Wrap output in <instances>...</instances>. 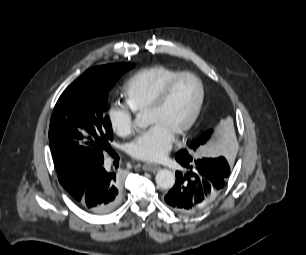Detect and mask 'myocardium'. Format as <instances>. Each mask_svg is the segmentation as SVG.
<instances>
[{
	"mask_svg": "<svg viewBox=\"0 0 306 255\" xmlns=\"http://www.w3.org/2000/svg\"><path fill=\"white\" fill-rule=\"evenodd\" d=\"M183 77H192L197 81L199 85V89H200V95H199V99H198V102H197V105L195 107L193 114L191 115L189 120L175 133V137H181L186 132H188L197 122L201 114V111L204 105V101H205V87H204L203 81L197 74L190 72V71H182L178 73L177 75H175L174 77H172L163 86V88L158 92V94L155 96V98L152 100V102L146 109L147 112H152V111L159 109L166 101L174 85Z\"/></svg>",
	"mask_w": 306,
	"mask_h": 255,
	"instance_id": "myocardium-1",
	"label": "myocardium"
}]
</instances>
